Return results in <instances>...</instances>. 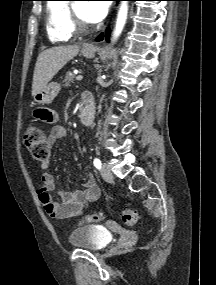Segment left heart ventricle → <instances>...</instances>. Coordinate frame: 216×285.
Masks as SVG:
<instances>
[{"label":"left heart ventricle","mask_w":216,"mask_h":285,"mask_svg":"<svg viewBox=\"0 0 216 285\" xmlns=\"http://www.w3.org/2000/svg\"><path fill=\"white\" fill-rule=\"evenodd\" d=\"M74 7H75V10H76L78 16H79L82 20H84L85 22H87L86 19H85V16H84L85 3H83V2H77V3L74 4Z\"/></svg>","instance_id":"b2bd125f"}]
</instances>
